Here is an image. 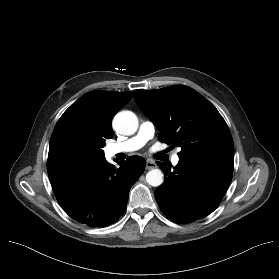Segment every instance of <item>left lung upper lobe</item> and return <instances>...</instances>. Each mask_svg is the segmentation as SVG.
I'll return each instance as SVG.
<instances>
[{
    "label": "left lung upper lobe",
    "mask_w": 279,
    "mask_h": 279,
    "mask_svg": "<svg viewBox=\"0 0 279 279\" xmlns=\"http://www.w3.org/2000/svg\"><path fill=\"white\" fill-rule=\"evenodd\" d=\"M137 105L161 130L159 140L181 147L178 156L234 159L229 128L215 106L194 89L135 90Z\"/></svg>",
    "instance_id": "5c2ea615"
}]
</instances>
